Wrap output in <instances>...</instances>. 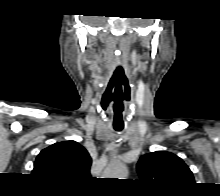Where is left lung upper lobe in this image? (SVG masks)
Returning a JSON list of instances; mask_svg holds the SVG:
<instances>
[{
    "label": "left lung upper lobe",
    "instance_id": "obj_1",
    "mask_svg": "<svg viewBox=\"0 0 220 196\" xmlns=\"http://www.w3.org/2000/svg\"><path fill=\"white\" fill-rule=\"evenodd\" d=\"M137 171L142 182L156 186L160 191L176 193L194 184L193 174L183 160L165 151L143 155Z\"/></svg>",
    "mask_w": 220,
    "mask_h": 196
}]
</instances>
